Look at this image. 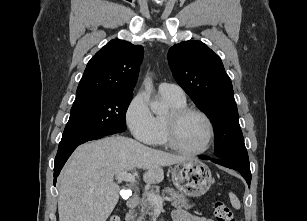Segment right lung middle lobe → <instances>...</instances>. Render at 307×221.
Masks as SVG:
<instances>
[{
  "label": "right lung middle lobe",
  "mask_w": 307,
  "mask_h": 221,
  "mask_svg": "<svg viewBox=\"0 0 307 221\" xmlns=\"http://www.w3.org/2000/svg\"><path fill=\"white\" fill-rule=\"evenodd\" d=\"M133 93H111L73 103L58 150L90 138L126 130V111Z\"/></svg>",
  "instance_id": "dd1d6c3e"
}]
</instances>
